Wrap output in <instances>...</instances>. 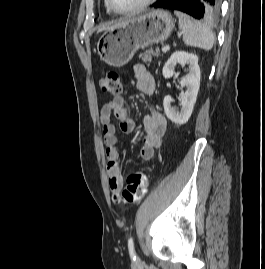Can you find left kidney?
<instances>
[{
  "mask_svg": "<svg viewBox=\"0 0 265 269\" xmlns=\"http://www.w3.org/2000/svg\"><path fill=\"white\" fill-rule=\"evenodd\" d=\"M176 64L188 65L189 67L188 75L180 82L181 87L187 88L182 97L181 110L177 111L171 106L172 98L170 95L165 96L163 106L167 118L175 124L182 125L188 121L192 114L199 91L201 75L196 55L184 51H176L163 67L162 73L166 79L173 76Z\"/></svg>",
  "mask_w": 265,
  "mask_h": 269,
  "instance_id": "1",
  "label": "left kidney"
}]
</instances>
